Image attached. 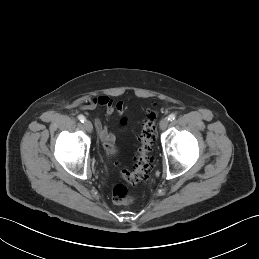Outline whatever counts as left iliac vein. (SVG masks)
<instances>
[{"label": "left iliac vein", "instance_id": "1", "mask_svg": "<svg viewBox=\"0 0 259 259\" xmlns=\"http://www.w3.org/2000/svg\"><path fill=\"white\" fill-rule=\"evenodd\" d=\"M168 124L169 120L167 118H163L159 123L160 130H165L168 127Z\"/></svg>", "mask_w": 259, "mask_h": 259}]
</instances>
